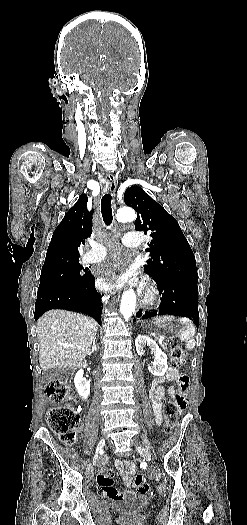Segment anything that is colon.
<instances>
[{
	"label": "colon",
	"instance_id": "obj_1",
	"mask_svg": "<svg viewBox=\"0 0 247 525\" xmlns=\"http://www.w3.org/2000/svg\"><path fill=\"white\" fill-rule=\"evenodd\" d=\"M170 356L174 366L181 367L186 356L183 349L175 342L170 344ZM177 384L181 389L188 388L189 376L181 374L177 379ZM45 394L57 403H64V406L52 407L47 411L46 419L49 427L67 443L73 444L77 438V429L80 418L78 410L74 405L72 392L62 381L54 380L46 384ZM188 404V398L184 393L170 395L164 404V417L168 429H172L177 420L178 413L184 411ZM135 486L141 495L150 492V485L146 476L142 472L135 474Z\"/></svg>",
	"mask_w": 247,
	"mask_h": 525
}]
</instances>
